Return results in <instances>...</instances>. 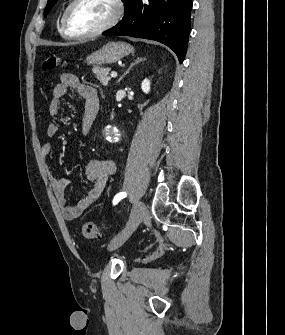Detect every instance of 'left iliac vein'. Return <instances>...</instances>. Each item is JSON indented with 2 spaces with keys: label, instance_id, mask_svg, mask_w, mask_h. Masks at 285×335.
<instances>
[{
  "label": "left iliac vein",
  "instance_id": "1",
  "mask_svg": "<svg viewBox=\"0 0 285 335\" xmlns=\"http://www.w3.org/2000/svg\"><path fill=\"white\" fill-rule=\"evenodd\" d=\"M147 218L148 211L145 204L141 201H137L131 210L126 227L117 237L110 241L108 249L110 251H113L116 248L120 247L133 233L137 226Z\"/></svg>",
  "mask_w": 285,
  "mask_h": 335
}]
</instances>
